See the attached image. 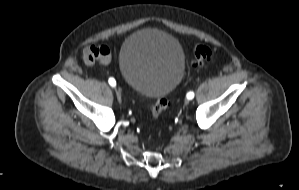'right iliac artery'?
I'll list each match as a JSON object with an SVG mask.
<instances>
[{"instance_id": "82829eb1", "label": "right iliac artery", "mask_w": 299, "mask_h": 190, "mask_svg": "<svg viewBox=\"0 0 299 190\" xmlns=\"http://www.w3.org/2000/svg\"><path fill=\"white\" fill-rule=\"evenodd\" d=\"M108 82H109V84H110L112 87H115V86H116V81H115L114 78H112V77L109 78Z\"/></svg>"}]
</instances>
